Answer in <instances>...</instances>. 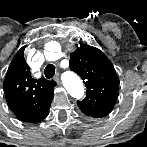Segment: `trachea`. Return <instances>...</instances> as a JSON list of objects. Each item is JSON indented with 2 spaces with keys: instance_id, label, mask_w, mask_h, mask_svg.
<instances>
[{
  "instance_id": "obj_1",
  "label": "trachea",
  "mask_w": 147,
  "mask_h": 147,
  "mask_svg": "<svg viewBox=\"0 0 147 147\" xmlns=\"http://www.w3.org/2000/svg\"><path fill=\"white\" fill-rule=\"evenodd\" d=\"M44 74L47 79L52 78L55 74V66L53 64H48L44 70Z\"/></svg>"
}]
</instances>
